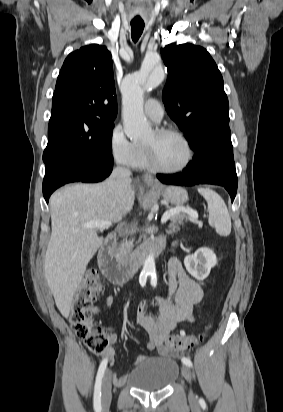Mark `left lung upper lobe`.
<instances>
[{
    "label": "left lung upper lobe",
    "instance_id": "obj_1",
    "mask_svg": "<svg viewBox=\"0 0 283 412\" xmlns=\"http://www.w3.org/2000/svg\"><path fill=\"white\" fill-rule=\"evenodd\" d=\"M168 69L163 101L195 154L201 149L230 160L237 184L223 78L210 54L192 44L161 49Z\"/></svg>",
    "mask_w": 283,
    "mask_h": 412
}]
</instances>
